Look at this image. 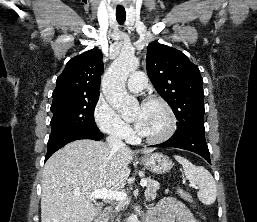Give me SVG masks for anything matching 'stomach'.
I'll return each instance as SVG.
<instances>
[{"label":"stomach","mask_w":257,"mask_h":222,"mask_svg":"<svg viewBox=\"0 0 257 222\" xmlns=\"http://www.w3.org/2000/svg\"><path fill=\"white\" fill-rule=\"evenodd\" d=\"M141 163L152 173L164 174L170 171L173 164L169 157L161 153H153L143 157Z\"/></svg>","instance_id":"stomach-1"}]
</instances>
